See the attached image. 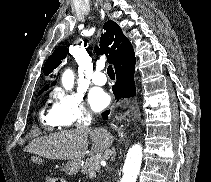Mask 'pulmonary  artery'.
Listing matches in <instances>:
<instances>
[{
	"instance_id": "e3ab8cb5",
	"label": "pulmonary artery",
	"mask_w": 211,
	"mask_h": 182,
	"mask_svg": "<svg viewBox=\"0 0 211 182\" xmlns=\"http://www.w3.org/2000/svg\"><path fill=\"white\" fill-rule=\"evenodd\" d=\"M107 77L103 71V66L100 64L92 74V82L96 85H104Z\"/></svg>"
}]
</instances>
